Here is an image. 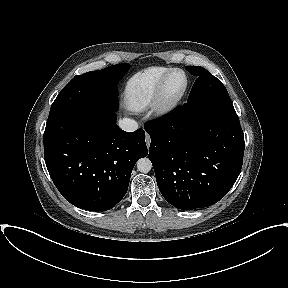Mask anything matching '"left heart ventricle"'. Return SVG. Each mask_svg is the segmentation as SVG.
<instances>
[{
	"label": "left heart ventricle",
	"instance_id": "obj_1",
	"mask_svg": "<svg viewBox=\"0 0 288 288\" xmlns=\"http://www.w3.org/2000/svg\"><path fill=\"white\" fill-rule=\"evenodd\" d=\"M183 84H184L183 74L180 72L174 73L167 84V94L169 96L176 95L181 90Z\"/></svg>",
	"mask_w": 288,
	"mask_h": 288
}]
</instances>
